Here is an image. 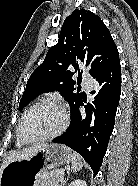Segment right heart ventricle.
Returning a JSON list of instances; mask_svg holds the SVG:
<instances>
[{"label":"right heart ventricle","mask_w":138,"mask_h":186,"mask_svg":"<svg viewBox=\"0 0 138 186\" xmlns=\"http://www.w3.org/2000/svg\"><path fill=\"white\" fill-rule=\"evenodd\" d=\"M16 143H17V146H19V147L25 145V143L22 142V141L19 139V137H18L17 134H16Z\"/></svg>","instance_id":"1"}]
</instances>
